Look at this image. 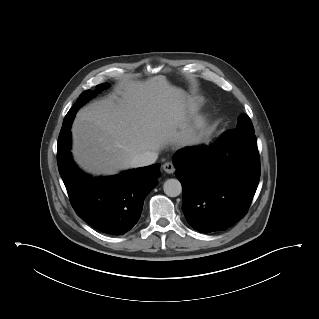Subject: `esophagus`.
<instances>
[{
    "label": "esophagus",
    "instance_id": "34e87169",
    "mask_svg": "<svg viewBox=\"0 0 319 319\" xmlns=\"http://www.w3.org/2000/svg\"><path fill=\"white\" fill-rule=\"evenodd\" d=\"M163 170L168 173V174H172L175 171V167L173 165L172 162H166L163 164L162 166Z\"/></svg>",
    "mask_w": 319,
    "mask_h": 319
}]
</instances>
